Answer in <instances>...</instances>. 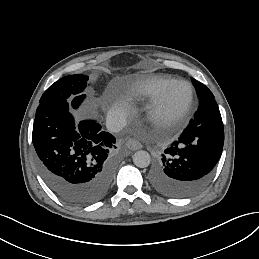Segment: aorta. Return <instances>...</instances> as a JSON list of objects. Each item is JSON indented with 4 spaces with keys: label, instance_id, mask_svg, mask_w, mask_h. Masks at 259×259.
<instances>
[{
    "label": "aorta",
    "instance_id": "762f6f07",
    "mask_svg": "<svg viewBox=\"0 0 259 259\" xmlns=\"http://www.w3.org/2000/svg\"><path fill=\"white\" fill-rule=\"evenodd\" d=\"M133 162L139 168L148 167L151 162L150 154L144 150L137 151L133 155Z\"/></svg>",
    "mask_w": 259,
    "mask_h": 259
}]
</instances>
